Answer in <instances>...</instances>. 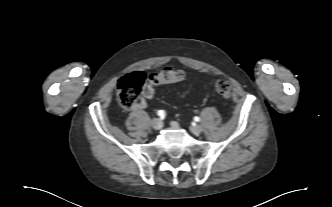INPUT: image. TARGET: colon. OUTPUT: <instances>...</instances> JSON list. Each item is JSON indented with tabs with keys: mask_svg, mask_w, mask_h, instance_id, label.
<instances>
[{
	"mask_svg": "<svg viewBox=\"0 0 332 207\" xmlns=\"http://www.w3.org/2000/svg\"><path fill=\"white\" fill-rule=\"evenodd\" d=\"M185 78L181 70L164 68L158 72L146 76L141 71L132 72L122 77L117 85V101L122 110H129L134 106L142 93L143 86L148 80L154 85H166L180 82ZM215 89L224 98L231 95V86L227 81L220 80L215 84Z\"/></svg>",
	"mask_w": 332,
	"mask_h": 207,
	"instance_id": "colon-1",
	"label": "colon"
}]
</instances>
